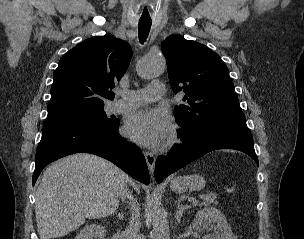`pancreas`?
<instances>
[{"instance_id": "1", "label": "pancreas", "mask_w": 304, "mask_h": 239, "mask_svg": "<svg viewBox=\"0 0 304 239\" xmlns=\"http://www.w3.org/2000/svg\"><path fill=\"white\" fill-rule=\"evenodd\" d=\"M211 204H218L217 198L213 194L205 196V202L203 203L204 206H210Z\"/></svg>"}]
</instances>
